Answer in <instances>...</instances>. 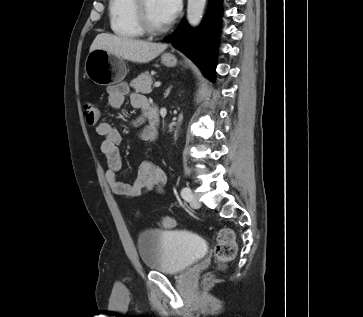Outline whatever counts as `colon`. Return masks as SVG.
<instances>
[{
    "instance_id": "colon-1",
    "label": "colon",
    "mask_w": 363,
    "mask_h": 317,
    "mask_svg": "<svg viewBox=\"0 0 363 317\" xmlns=\"http://www.w3.org/2000/svg\"><path fill=\"white\" fill-rule=\"evenodd\" d=\"M85 120L89 126H97L99 123V109L91 102H87L83 106ZM161 225L165 228H173L176 220L173 217L165 216L161 220ZM216 246L214 255L217 263L221 266L234 260L237 253V244L234 233L229 228H222L216 235ZM211 276H206V280H210Z\"/></svg>"
}]
</instances>
